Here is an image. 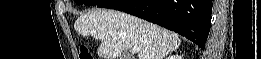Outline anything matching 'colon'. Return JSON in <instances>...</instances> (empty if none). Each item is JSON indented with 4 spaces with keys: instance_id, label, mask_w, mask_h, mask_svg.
<instances>
[{
    "instance_id": "5ec220e1",
    "label": "colon",
    "mask_w": 261,
    "mask_h": 59,
    "mask_svg": "<svg viewBox=\"0 0 261 59\" xmlns=\"http://www.w3.org/2000/svg\"><path fill=\"white\" fill-rule=\"evenodd\" d=\"M79 58L80 59H93L91 53L89 52V50L86 47H83L80 50Z\"/></svg>"
}]
</instances>
